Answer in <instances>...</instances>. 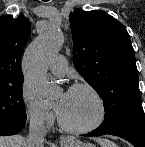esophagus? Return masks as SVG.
<instances>
[{"instance_id": "esophagus-1", "label": "esophagus", "mask_w": 145, "mask_h": 147, "mask_svg": "<svg viewBox=\"0 0 145 147\" xmlns=\"http://www.w3.org/2000/svg\"><path fill=\"white\" fill-rule=\"evenodd\" d=\"M69 141V138L65 137V136H61L60 137V142L61 143H64V142H68Z\"/></svg>"}]
</instances>
